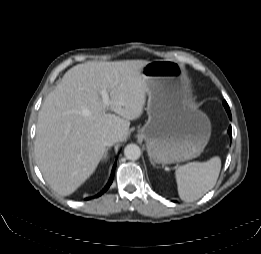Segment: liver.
<instances>
[{"label": "liver", "instance_id": "liver-1", "mask_svg": "<svg viewBox=\"0 0 261 254\" xmlns=\"http://www.w3.org/2000/svg\"><path fill=\"white\" fill-rule=\"evenodd\" d=\"M146 60L87 62L69 69L42 104L34 143L36 163L59 195L75 192L106 152L105 138L128 136L130 120L143 113ZM105 89L109 105L100 92ZM110 110L114 114L107 113Z\"/></svg>", "mask_w": 261, "mask_h": 254}]
</instances>
